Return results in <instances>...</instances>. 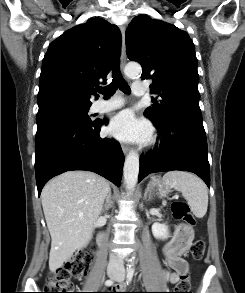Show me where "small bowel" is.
<instances>
[{"mask_svg": "<svg viewBox=\"0 0 245 293\" xmlns=\"http://www.w3.org/2000/svg\"><path fill=\"white\" fill-rule=\"evenodd\" d=\"M165 263L170 267L171 271L163 270L162 273L168 284H176L180 277L188 272V263L185 259L178 255L176 246L173 241L168 242L164 251ZM125 286L122 287L124 289ZM124 293V292H117Z\"/></svg>", "mask_w": 245, "mask_h": 293, "instance_id": "c3829d8e", "label": "small bowel"}]
</instances>
